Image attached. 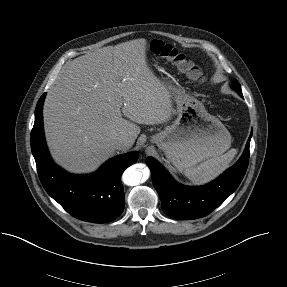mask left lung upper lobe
I'll list each match as a JSON object with an SVG mask.
<instances>
[{"label": "left lung upper lobe", "mask_w": 287, "mask_h": 287, "mask_svg": "<svg viewBox=\"0 0 287 287\" xmlns=\"http://www.w3.org/2000/svg\"><path fill=\"white\" fill-rule=\"evenodd\" d=\"M233 87H234V89L238 92V94H239L240 96H243V95H242V90H241L240 84H239L238 82H234V83H233Z\"/></svg>", "instance_id": "obj_1"}]
</instances>
